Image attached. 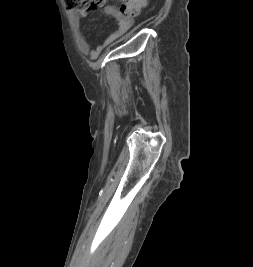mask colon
Returning <instances> with one entry per match:
<instances>
[{"mask_svg":"<svg viewBox=\"0 0 253 267\" xmlns=\"http://www.w3.org/2000/svg\"><path fill=\"white\" fill-rule=\"evenodd\" d=\"M106 0H65V6L72 11L87 12L101 8ZM147 0H121V12L124 15L135 17L142 13Z\"/></svg>","mask_w":253,"mask_h":267,"instance_id":"obj_1","label":"colon"}]
</instances>
